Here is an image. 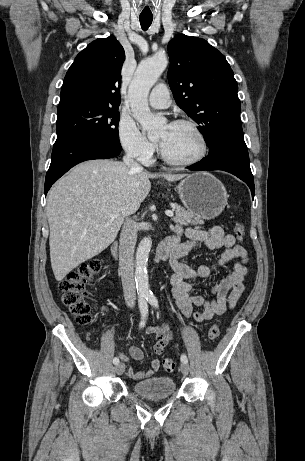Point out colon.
Masks as SVG:
<instances>
[{
    "label": "colon",
    "mask_w": 305,
    "mask_h": 461,
    "mask_svg": "<svg viewBox=\"0 0 305 461\" xmlns=\"http://www.w3.org/2000/svg\"><path fill=\"white\" fill-rule=\"evenodd\" d=\"M234 234L238 240L245 237V229L242 224L235 223ZM102 262L93 260L80 266L77 270L70 273L59 285L62 294V303L69 309L79 324H88L92 320L91 304L88 301L89 291L87 285L92 282L100 273ZM220 335V328L214 324L209 328L208 337L215 340ZM164 369L172 372L175 369V362L172 359L163 361Z\"/></svg>",
    "instance_id": "1"
}]
</instances>
